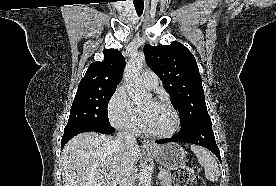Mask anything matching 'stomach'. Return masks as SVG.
<instances>
[{
	"instance_id": "obj_1",
	"label": "stomach",
	"mask_w": 276,
	"mask_h": 186,
	"mask_svg": "<svg viewBox=\"0 0 276 186\" xmlns=\"http://www.w3.org/2000/svg\"><path fill=\"white\" fill-rule=\"evenodd\" d=\"M149 153L154 159L168 170H176L183 167L185 163L186 153L184 149L177 143H167L165 145L156 146Z\"/></svg>"
}]
</instances>
